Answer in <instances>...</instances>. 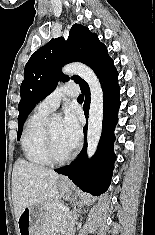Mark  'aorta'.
Masks as SVG:
<instances>
[{
	"label": "aorta",
	"instance_id": "obj_1",
	"mask_svg": "<svg viewBox=\"0 0 155 235\" xmlns=\"http://www.w3.org/2000/svg\"><path fill=\"white\" fill-rule=\"evenodd\" d=\"M66 75H78L90 87V109L87 131V155L91 158L98 146L103 120V90L99 79L93 70L82 63H70L62 68ZM54 120L59 119V115H54Z\"/></svg>",
	"mask_w": 155,
	"mask_h": 235
}]
</instances>
